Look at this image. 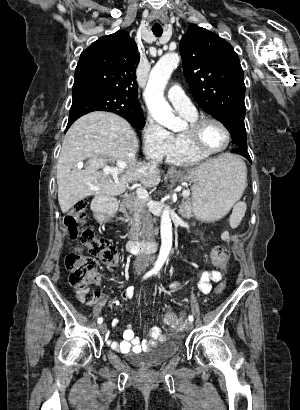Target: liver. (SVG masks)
<instances>
[{
	"mask_svg": "<svg viewBox=\"0 0 300 410\" xmlns=\"http://www.w3.org/2000/svg\"><path fill=\"white\" fill-rule=\"evenodd\" d=\"M138 147L132 127L116 114L92 112L76 120L65 135L57 164L58 201L62 212H68L77 202L91 195H120L128 183L135 181L146 187L157 186L161 180L160 169L151 163L136 162ZM233 159V155L223 154L199 167ZM84 160L87 164L83 170H72ZM111 161L125 162L120 177L112 179L108 173L97 171Z\"/></svg>",
	"mask_w": 300,
	"mask_h": 410,
	"instance_id": "6515ba94",
	"label": "liver"
}]
</instances>
